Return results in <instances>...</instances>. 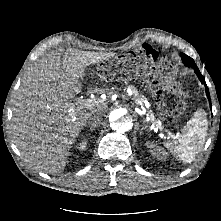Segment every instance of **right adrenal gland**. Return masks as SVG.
Here are the masks:
<instances>
[{
    "label": "right adrenal gland",
    "mask_w": 221,
    "mask_h": 221,
    "mask_svg": "<svg viewBox=\"0 0 221 221\" xmlns=\"http://www.w3.org/2000/svg\"><path fill=\"white\" fill-rule=\"evenodd\" d=\"M96 127H97V126H91V127L89 128V131L95 130Z\"/></svg>",
    "instance_id": "right-adrenal-gland-1"
}]
</instances>
